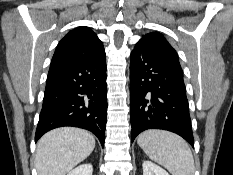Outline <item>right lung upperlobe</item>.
<instances>
[{"label": "right lung upper lobe", "mask_w": 233, "mask_h": 175, "mask_svg": "<svg viewBox=\"0 0 233 175\" xmlns=\"http://www.w3.org/2000/svg\"><path fill=\"white\" fill-rule=\"evenodd\" d=\"M103 50L102 42L90 28L84 26L75 28L59 42L49 71L92 58Z\"/></svg>", "instance_id": "1"}]
</instances>
